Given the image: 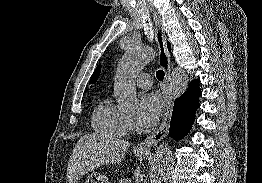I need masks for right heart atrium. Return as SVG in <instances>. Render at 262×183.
<instances>
[{"instance_id": "d8ad5b80", "label": "right heart atrium", "mask_w": 262, "mask_h": 183, "mask_svg": "<svg viewBox=\"0 0 262 183\" xmlns=\"http://www.w3.org/2000/svg\"><path fill=\"white\" fill-rule=\"evenodd\" d=\"M128 126H129V129H133L135 127L134 122L130 118H128Z\"/></svg>"}]
</instances>
